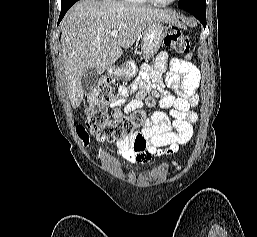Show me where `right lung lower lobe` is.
<instances>
[{"label": "right lung lower lobe", "instance_id": "1", "mask_svg": "<svg viewBox=\"0 0 257 237\" xmlns=\"http://www.w3.org/2000/svg\"><path fill=\"white\" fill-rule=\"evenodd\" d=\"M72 6V5H71ZM71 6H68L66 8H62L61 9V13H60V16H59V20H58V24L60 23V21L63 19L64 15L66 14V12L69 10V8Z\"/></svg>", "mask_w": 257, "mask_h": 237}]
</instances>
